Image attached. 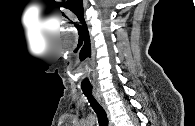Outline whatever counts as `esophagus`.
<instances>
[{
	"instance_id": "esophagus-1",
	"label": "esophagus",
	"mask_w": 195,
	"mask_h": 126,
	"mask_svg": "<svg viewBox=\"0 0 195 126\" xmlns=\"http://www.w3.org/2000/svg\"><path fill=\"white\" fill-rule=\"evenodd\" d=\"M93 94H94L96 100L99 102V104L104 108V110H105V112H106V114L109 118L110 117V112L108 110L107 104H106V102H105V100L102 96V93H101L100 89L99 88H94L93 89Z\"/></svg>"
}]
</instances>
